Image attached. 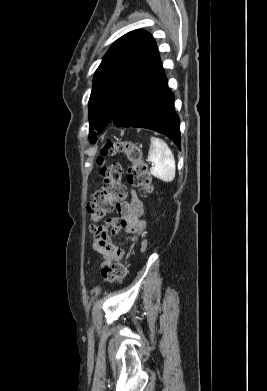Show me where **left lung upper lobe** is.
I'll return each mask as SVG.
<instances>
[{
  "label": "left lung upper lobe",
  "instance_id": "5c2ea615",
  "mask_svg": "<svg viewBox=\"0 0 267 391\" xmlns=\"http://www.w3.org/2000/svg\"><path fill=\"white\" fill-rule=\"evenodd\" d=\"M160 60L153 37L134 30L120 37L107 51L95 72L89 99V139L112 120L131 89Z\"/></svg>",
  "mask_w": 267,
  "mask_h": 391
}]
</instances>
